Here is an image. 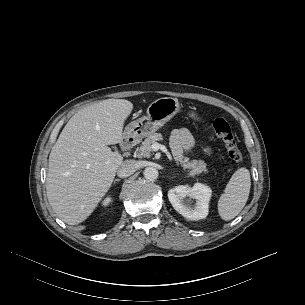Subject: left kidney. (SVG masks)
<instances>
[{"mask_svg":"<svg viewBox=\"0 0 305 305\" xmlns=\"http://www.w3.org/2000/svg\"><path fill=\"white\" fill-rule=\"evenodd\" d=\"M211 194L212 191L208 186L196 183L192 188L184 185L176 186L168 191V198L179 214L196 221L207 217Z\"/></svg>","mask_w":305,"mask_h":305,"instance_id":"obj_1","label":"left kidney"}]
</instances>
